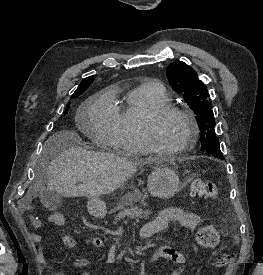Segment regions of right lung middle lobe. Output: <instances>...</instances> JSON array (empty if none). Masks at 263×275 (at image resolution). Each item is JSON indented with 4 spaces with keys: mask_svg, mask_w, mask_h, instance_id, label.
<instances>
[{
    "mask_svg": "<svg viewBox=\"0 0 263 275\" xmlns=\"http://www.w3.org/2000/svg\"><path fill=\"white\" fill-rule=\"evenodd\" d=\"M86 90V88L85 89H83V90H81L79 93H77V94H75V95H73L71 98H76V97H78L79 95H81L84 91ZM68 108H69V104H68V106H67ZM67 113V110L65 111V114Z\"/></svg>",
    "mask_w": 263,
    "mask_h": 275,
    "instance_id": "dd1d6c3e",
    "label": "right lung middle lobe"
}]
</instances>
